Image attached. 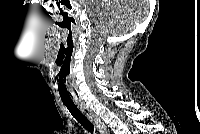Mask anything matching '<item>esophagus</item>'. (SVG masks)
Wrapping results in <instances>:
<instances>
[{
  "mask_svg": "<svg viewBox=\"0 0 200 134\" xmlns=\"http://www.w3.org/2000/svg\"><path fill=\"white\" fill-rule=\"evenodd\" d=\"M80 111L92 122L100 134H108V130L104 123L83 103H77Z\"/></svg>",
  "mask_w": 200,
  "mask_h": 134,
  "instance_id": "obj_1",
  "label": "esophagus"
}]
</instances>
